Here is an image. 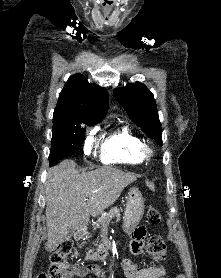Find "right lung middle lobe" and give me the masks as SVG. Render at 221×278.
Segmentation results:
<instances>
[{
    "instance_id": "right-lung-middle-lobe-1",
    "label": "right lung middle lobe",
    "mask_w": 221,
    "mask_h": 278,
    "mask_svg": "<svg viewBox=\"0 0 221 278\" xmlns=\"http://www.w3.org/2000/svg\"><path fill=\"white\" fill-rule=\"evenodd\" d=\"M84 125L91 126L84 120H70L53 117V137L49 162L55 165L59 160L77 151L85 137ZM95 125V124H94Z\"/></svg>"
}]
</instances>
